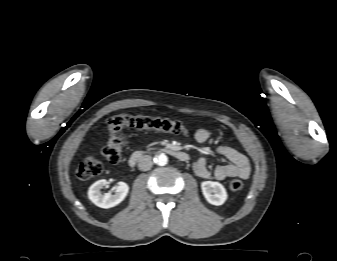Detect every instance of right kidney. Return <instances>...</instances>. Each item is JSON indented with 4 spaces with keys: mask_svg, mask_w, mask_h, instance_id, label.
<instances>
[{
    "mask_svg": "<svg viewBox=\"0 0 337 261\" xmlns=\"http://www.w3.org/2000/svg\"><path fill=\"white\" fill-rule=\"evenodd\" d=\"M108 182L105 179L98 180L89 187L88 198L98 207L111 208L121 203L129 192V186L124 182L117 183L115 194L110 192L101 194L100 190L106 186Z\"/></svg>",
    "mask_w": 337,
    "mask_h": 261,
    "instance_id": "ca27d5eb",
    "label": "right kidney"
}]
</instances>
